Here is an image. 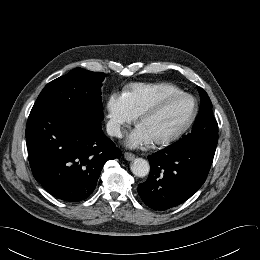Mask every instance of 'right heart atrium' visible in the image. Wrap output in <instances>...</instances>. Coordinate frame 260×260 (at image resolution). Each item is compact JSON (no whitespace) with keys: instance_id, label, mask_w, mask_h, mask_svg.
Listing matches in <instances>:
<instances>
[{"instance_id":"obj_1","label":"right heart atrium","mask_w":260,"mask_h":260,"mask_svg":"<svg viewBox=\"0 0 260 260\" xmlns=\"http://www.w3.org/2000/svg\"><path fill=\"white\" fill-rule=\"evenodd\" d=\"M107 131L110 135L120 137L126 126L132 123L136 115L130 110L123 94L111 93L106 103Z\"/></svg>"}]
</instances>
